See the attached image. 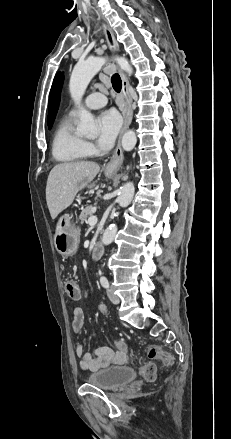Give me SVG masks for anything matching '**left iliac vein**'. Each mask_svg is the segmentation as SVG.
<instances>
[{
  "mask_svg": "<svg viewBox=\"0 0 231 439\" xmlns=\"http://www.w3.org/2000/svg\"><path fill=\"white\" fill-rule=\"evenodd\" d=\"M107 295L109 300L113 303V304H119L120 303V299L119 297L113 292L112 289H108L107 290Z\"/></svg>",
  "mask_w": 231,
  "mask_h": 439,
  "instance_id": "left-iliac-vein-1",
  "label": "left iliac vein"
}]
</instances>
